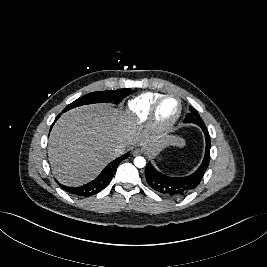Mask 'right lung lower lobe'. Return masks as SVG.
Segmentation results:
<instances>
[{"label":"right lung lower lobe","mask_w":267,"mask_h":267,"mask_svg":"<svg viewBox=\"0 0 267 267\" xmlns=\"http://www.w3.org/2000/svg\"><path fill=\"white\" fill-rule=\"evenodd\" d=\"M59 116L60 114L56 117L55 121L59 118ZM129 154L130 153H126L125 155L109 163L96 179L86 185L80 187H67L60 184V186L65 191L77 196L88 197L94 195L102 191L109 184L119 163L122 160H125L129 156Z\"/></svg>","instance_id":"obj_1"}]
</instances>
